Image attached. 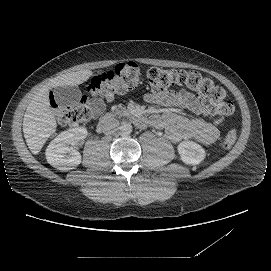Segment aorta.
<instances>
[{
    "label": "aorta",
    "mask_w": 271,
    "mask_h": 271,
    "mask_svg": "<svg viewBox=\"0 0 271 271\" xmlns=\"http://www.w3.org/2000/svg\"><path fill=\"white\" fill-rule=\"evenodd\" d=\"M119 129L122 134L129 135L132 132V125L128 122H123Z\"/></svg>",
    "instance_id": "obj_1"
}]
</instances>
